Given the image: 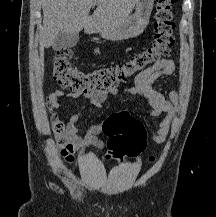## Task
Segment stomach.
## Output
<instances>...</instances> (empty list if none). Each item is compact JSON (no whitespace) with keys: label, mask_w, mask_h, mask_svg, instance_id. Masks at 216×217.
<instances>
[{"label":"stomach","mask_w":216,"mask_h":217,"mask_svg":"<svg viewBox=\"0 0 216 217\" xmlns=\"http://www.w3.org/2000/svg\"><path fill=\"white\" fill-rule=\"evenodd\" d=\"M154 1L138 0L135 13L128 16L116 28L102 31V36L111 40H123L139 36L149 23Z\"/></svg>","instance_id":"obj_1"}]
</instances>
